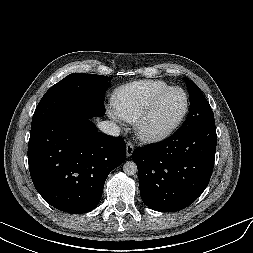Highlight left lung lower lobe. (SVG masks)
Returning <instances> with one entry per match:
<instances>
[{
    "label": "left lung lower lobe",
    "instance_id": "left-lung-lower-lobe-1",
    "mask_svg": "<svg viewBox=\"0 0 253 253\" xmlns=\"http://www.w3.org/2000/svg\"><path fill=\"white\" fill-rule=\"evenodd\" d=\"M217 135L215 123L139 147L132 153L137 164L143 202L162 212L182 210L207 187L212 175Z\"/></svg>",
    "mask_w": 253,
    "mask_h": 253
}]
</instances>
